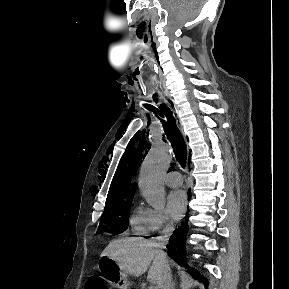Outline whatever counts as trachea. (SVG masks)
<instances>
[{"instance_id": "1", "label": "trachea", "mask_w": 289, "mask_h": 289, "mask_svg": "<svg viewBox=\"0 0 289 289\" xmlns=\"http://www.w3.org/2000/svg\"><path fill=\"white\" fill-rule=\"evenodd\" d=\"M156 113L161 117L163 122L165 133L170 141L175 157L182 168L186 166L187 150L184 139L176 125L175 119L172 115V111L168 107H164L161 111L154 109Z\"/></svg>"}]
</instances>
